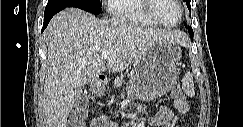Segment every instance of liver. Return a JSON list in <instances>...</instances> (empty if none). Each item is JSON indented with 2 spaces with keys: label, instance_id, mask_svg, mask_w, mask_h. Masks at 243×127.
Here are the masks:
<instances>
[{
  "label": "liver",
  "instance_id": "liver-1",
  "mask_svg": "<svg viewBox=\"0 0 243 127\" xmlns=\"http://www.w3.org/2000/svg\"><path fill=\"white\" fill-rule=\"evenodd\" d=\"M48 48L43 111L47 127H66L82 86L106 71L101 53L110 50L107 68L122 72L156 42L186 46V34L138 27L124 19H97L77 8L56 14L45 31Z\"/></svg>",
  "mask_w": 243,
  "mask_h": 127
}]
</instances>
